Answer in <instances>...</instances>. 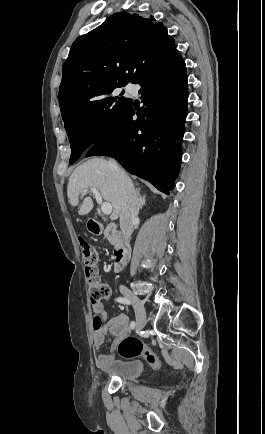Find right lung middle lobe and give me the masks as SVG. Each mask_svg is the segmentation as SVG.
Here are the masks:
<instances>
[{"label": "right lung middle lobe", "instance_id": "1", "mask_svg": "<svg viewBox=\"0 0 265 434\" xmlns=\"http://www.w3.org/2000/svg\"><path fill=\"white\" fill-rule=\"evenodd\" d=\"M127 83L106 80L58 99L72 149L70 164L113 130L127 113L133 100L123 96L124 91L117 93V88Z\"/></svg>", "mask_w": 265, "mask_h": 434}]
</instances>
